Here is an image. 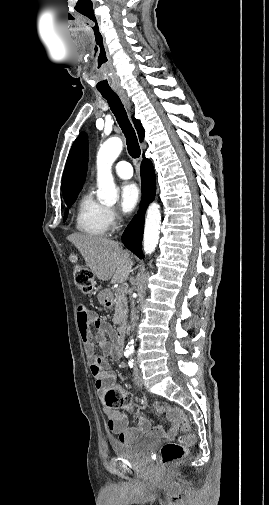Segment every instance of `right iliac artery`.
<instances>
[{
	"mask_svg": "<svg viewBox=\"0 0 269 505\" xmlns=\"http://www.w3.org/2000/svg\"><path fill=\"white\" fill-rule=\"evenodd\" d=\"M125 357L128 358L131 355V352L127 351L124 353Z\"/></svg>",
	"mask_w": 269,
	"mask_h": 505,
	"instance_id": "82829eb1",
	"label": "right iliac artery"
}]
</instances>
